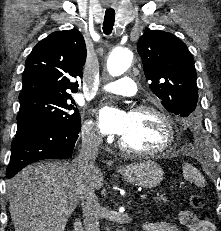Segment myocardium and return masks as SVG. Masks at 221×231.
Here are the masks:
<instances>
[{
    "mask_svg": "<svg viewBox=\"0 0 221 231\" xmlns=\"http://www.w3.org/2000/svg\"><path fill=\"white\" fill-rule=\"evenodd\" d=\"M132 113H151L158 116L166 127V141L159 148L152 150H140L128 147L121 138L118 139L117 143L120 149L123 151L139 156H158L174 146L175 143V127L170 115L161 108L152 105H138L133 110Z\"/></svg>",
    "mask_w": 221,
    "mask_h": 231,
    "instance_id": "myocardium-1",
    "label": "myocardium"
}]
</instances>
